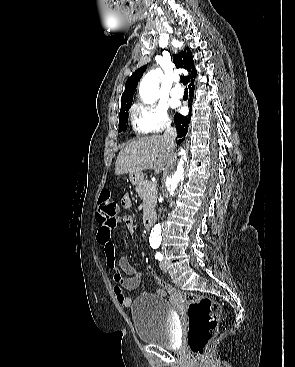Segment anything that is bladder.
I'll return each mask as SVG.
<instances>
[{
    "mask_svg": "<svg viewBox=\"0 0 295 367\" xmlns=\"http://www.w3.org/2000/svg\"><path fill=\"white\" fill-rule=\"evenodd\" d=\"M131 317L138 338L145 343L172 348L177 342L171 304L157 294L138 296L131 306Z\"/></svg>",
    "mask_w": 295,
    "mask_h": 367,
    "instance_id": "1",
    "label": "bladder"
}]
</instances>
